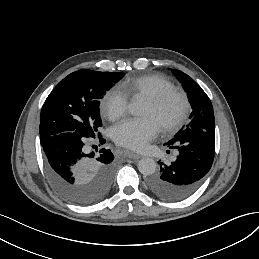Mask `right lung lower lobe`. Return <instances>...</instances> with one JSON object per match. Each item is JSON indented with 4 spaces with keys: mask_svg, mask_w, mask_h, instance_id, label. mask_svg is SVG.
I'll return each mask as SVG.
<instances>
[{
    "mask_svg": "<svg viewBox=\"0 0 259 259\" xmlns=\"http://www.w3.org/2000/svg\"><path fill=\"white\" fill-rule=\"evenodd\" d=\"M62 133L42 144L47 174L56 190L68 201L82 206L94 204L109 192L115 174L110 149L88 151L86 144L99 139Z\"/></svg>",
    "mask_w": 259,
    "mask_h": 259,
    "instance_id": "obj_1",
    "label": "right lung lower lobe"
}]
</instances>
